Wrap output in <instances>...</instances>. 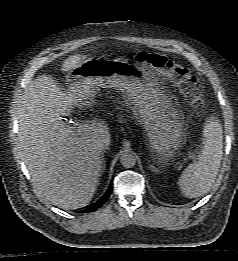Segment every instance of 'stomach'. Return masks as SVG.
Segmentation results:
<instances>
[{
    "label": "stomach",
    "instance_id": "1",
    "mask_svg": "<svg viewBox=\"0 0 238 261\" xmlns=\"http://www.w3.org/2000/svg\"><path fill=\"white\" fill-rule=\"evenodd\" d=\"M66 83L86 107L92 106L100 88L119 90L137 112L158 161L164 163L176 155L184 134L181 114L146 64L125 58L89 59L68 72Z\"/></svg>",
    "mask_w": 238,
    "mask_h": 261
}]
</instances>
